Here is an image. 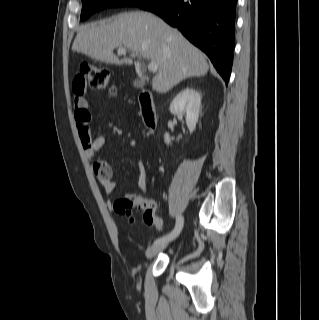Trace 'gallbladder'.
<instances>
[{
  "label": "gallbladder",
  "mask_w": 319,
  "mask_h": 320,
  "mask_svg": "<svg viewBox=\"0 0 319 320\" xmlns=\"http://www.w3.org/2000/svg\"><path fill=\"white\" fill-rule=\"evenodd\" d=\"M133 84L136 88H142L145 84V81L142 79H136Z\"/></svg>",
  "instance_id": "gallbladder-1"
}]
</instances>
